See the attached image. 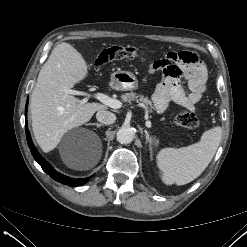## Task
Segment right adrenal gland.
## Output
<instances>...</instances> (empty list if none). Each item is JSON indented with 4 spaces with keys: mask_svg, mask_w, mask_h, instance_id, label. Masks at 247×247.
I'll list each match as a JSON object with an SVG mask.
<instances>
[{
    "mask_svg": "<svg viewBox=\"0 0 247 247\" xmlns=\"http://www.w3.org/2000/svg\"><path fill=\"white\" fill-rule=\"evenodd\" d=\"M88 125H95L98 128L103 126V124H99V123H89Z\"/></svg>",
    "mask_w": 247,
    "mask_h": 247,
    "instance_id": "obj_1",
    "label": "right adrenal gland"
}]
</instances>
